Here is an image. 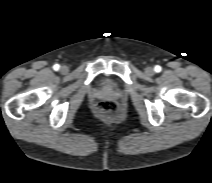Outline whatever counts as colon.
Listing matches in <instances>:
<instances>
[{
  "instance_id": "1",
  "label": "colon",
  "mask_w": 212,
  "mask_h": 183,
  "mask_svg": "<svg viewBox=\"0 0 212 183\" xmlns=\"http://www.w3.org/2000/svg\"><path fill=\"white\" fill-rule=\"evenodd\" d=\"M97 113L105 119H114L119 113L118 104L111 100H103L96 104Z\"/></svg>"
}]
</instances>
